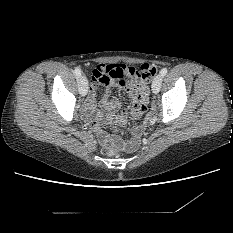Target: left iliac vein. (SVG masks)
<instances>
[{
    "label": "left iliac vein",
    "instance_id": "obj_1",
    "mask_svg": "<svg viewBox=\"0 0 233 233\" xmlns=\"http://www.w3.org/2000/svg\"><path fill=\"white\" fill-rule=\"evenodd\" d=\"M162 80H163V76L161 74H158L154 78V80L152 82V91H153V93H158L159 92Z\"/></svg>",
    "mask_w": 233,
    "mask_h": 233
}]
</instances>
